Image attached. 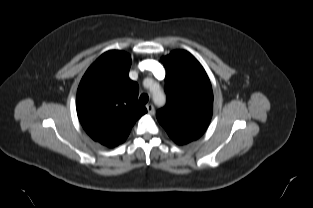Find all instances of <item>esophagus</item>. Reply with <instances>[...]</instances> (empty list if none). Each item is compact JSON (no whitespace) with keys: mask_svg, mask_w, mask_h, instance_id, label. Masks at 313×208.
<instances>
[{"mask_svg":"<svg viewBox=\"0 0 313 208\" xmlns=\"http://www.w3.org/2000/svg\"><path fill=\"white\" fill-rule=\"evenodd\" d=\"M147 111L150 115H153L155 113L154 106L152 104L146 105Z\"/></svg>","mask_w":313,"mask_h":208,"instance_id":"1","label":"esophagus"}]
</instances>
